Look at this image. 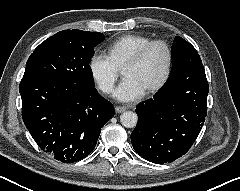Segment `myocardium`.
Here are the masks:
<instances>
[{
  "instance_id": "obj_1",
  "label": "myocardium",
  "mask_w": 240,
  "mask_h": 191,
  "mask_svg": "<svg viewBox=\"0 0 240 191\" xmlns=\"http://www.w3.org/2000/svg\"><path fill=\"white\" fill-rule=\"evenodd\" d=\"M156 45H162L166 51V66L165 71L160 81L146 91V95H153L159 92L168 82L172 66H173V51L170 44L163 39H154L142 46L123 66V69L130 66L138 65L145 58L150 49Z\"/></svg>"
}]
</instances>
